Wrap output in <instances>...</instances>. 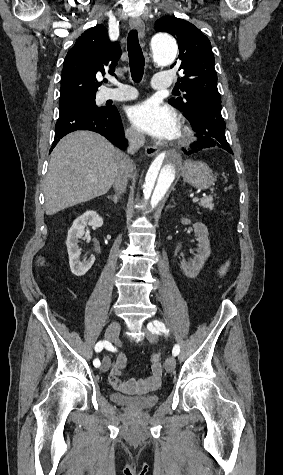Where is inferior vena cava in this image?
I'll use <instances>...</instances> for the list:
<instances>
[{"label":"inferior vena cava","mask_w":283,"mask_h":475,"mask_svg":"<svg viewBox=\"0 0 283 475\" xmlns=\"http://www.w3.org/2000/svg\"><path fill=\"white\" fill-rule=\"evenodd\" d=\"M127 140L129 144L127 154H136L137 150L142 148L146 142L144 134L136 132V130H134V132H128ZM133 170H135V166H133L132 160H130L128 156H125V154H122V158H120V162H118L116 166V176L114 180V188L117 194L125 192L127 180L131 178Z\"/></svg>","instance_id":"inferior-vena-cava-1"}]
</instances>
